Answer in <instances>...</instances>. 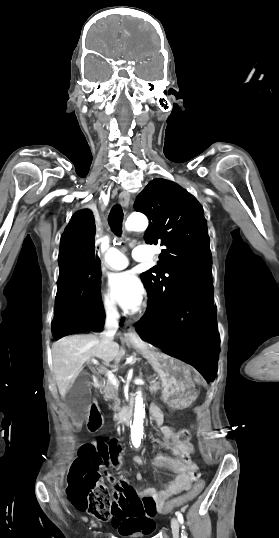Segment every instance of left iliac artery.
<instances>
[{"instance_id":"obj_1","label":"left iliac artery","mask_w":279,"mask_h":538,"mask_svg":"<svg viewBox=\"0 0 279 538\" xmlns=\"http://www.w3.org/2000/svg\"><path fill=\"white\" fill-rule=\"evenodd\" d=\"M176 515H177V517H178L179 522L182 524V528H183L182 538H187V537H186V534H185V532H184V526H183V522H184V520H183V516H182V514H181L180 512H177Z\"/></svg>"}]
</instances>
